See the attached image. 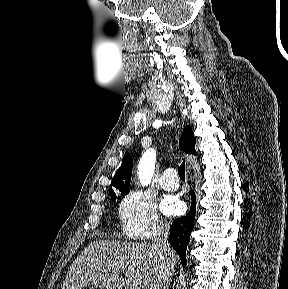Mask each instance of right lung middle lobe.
Wrapping results in <instances>:
<instances>
[{
    "mask_svg": "<svg viewBox=\"0 0 288 289\" xmlns=\"http://www.w3.org/2000/svg\"><path fill=\"white\" fill-rule=\"evenodd\" d=\"M119 192L121 193V195H126V194L129 193V191H124V192L119 191ZM111 199H112L113 201H115V200L117 199V195H116V193H115L114 191L111 192Z\"/></svg>",
    "mask_w": 288,
    "mask_h": 289,
    "instance_id": "right-lung-middle-lobe-1",
    "label": "right lung middle lobe"
}]
</instances>
